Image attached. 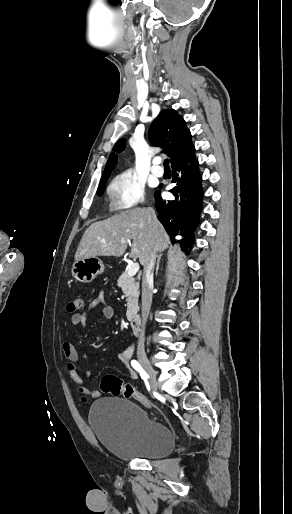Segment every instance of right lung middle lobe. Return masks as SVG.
<instances>
[{"instance_id":"right-lung-middle-lobe-1","label":"right lung middle lobe","mask_w":292,"mask_h":514,"mask_svg":"<svg viewBox=\"0 0 292 514\" xmlns=\"http://www.w3.org/2000/svg\"><path fill=\"white\" fill-rule=\"evenodd\" d=\"M106 182H107V180H104V181L100 182V185H99V188H98V192H97L98 196H101L104 193Z\"/></svg>"}]
</instances>
